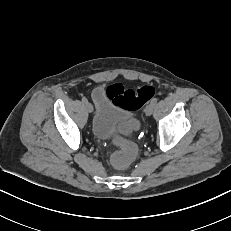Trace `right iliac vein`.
<instances>
[{"label":"right iliac vein","mask_w":231,"mask_h":231,"mask_svg":"<svg viewBox=\"0 0 231 231\" xmlns=\"http://www.w3.org/2000/svg\"><path fill=\"white\" fill-rule=\"evenodd\" d=\"M85 107L88 112L92 113L93 112V106L89 102L85 103Z\"/></svg>","instance_id":"1"}]
</instances>
